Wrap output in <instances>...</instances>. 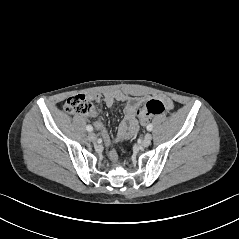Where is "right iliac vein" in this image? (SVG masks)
<instances>
[{
	"label": "right iliac vein",
	"instance_id": "1",
	"mask_svg": "<svg viewBox=\"0 0 239 239\" xmlns=\"http://www.w3.org/2000/svg\"><path fill=\"white\" fill-rule=\"evenodd\" d=\"M88 139H89L90 141L94 142V141L97 140V136H96L95 133L90 132V133L88 134Z\"/></svg>",
	"mask_w": 239,
	"mask_h": 239
}]
</instances>
